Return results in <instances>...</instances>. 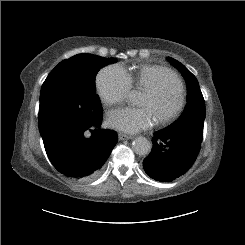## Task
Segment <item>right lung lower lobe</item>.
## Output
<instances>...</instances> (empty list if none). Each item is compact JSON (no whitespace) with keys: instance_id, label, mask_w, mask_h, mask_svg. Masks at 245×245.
<instances>
[{"instance_id":"right-lung-lower-lobe-1","label":"right lung lower lobe","mask_w":245,"mask_h":245,"mask_svg":"<svg viewBox=\"0 0 245 245\" xmlns=\"http://www.w3.org/2000/svg\"><path fill=\"white\" fill-rule=\"evenodd\" d=\"M102 118L88 126H76L55 131L43 139L53 166L67 177L88 180L95 177L118 141L116 132L100 131ZM95 133L86 137L87 132Z\"/></svg>"}]
</instances>
